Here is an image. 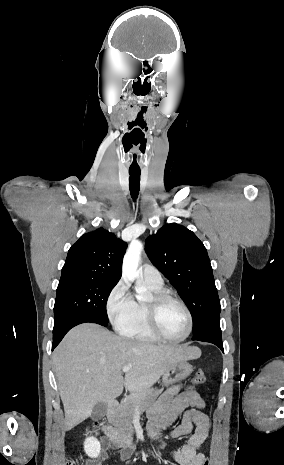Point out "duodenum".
<instances>
[{
    "instance_id": "obj_1",
    "label": "duodenum",
    "mask_w": 284,
    "mask_h": 465,
    "mask_svg": "<svg viewBox=\"0 0 284 465\" xmlns=\"http://www.w3.org/2000/svg\"><path fill=\"white\" fill-rule=\"evenodd\" d=\"M118 409L117 401H111L109 405L105 408V413L103 418L100 420L99 426L104 434V436L110 440L115 446H118L121 442L120 437L116 432L110 427L107 420L114 416L115 411ZM126 444L129 443L128 439L123 440Z\"/></svg>"
}]
</instances>
